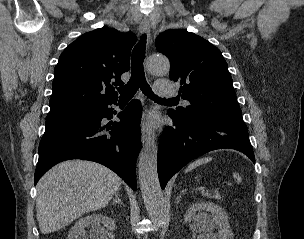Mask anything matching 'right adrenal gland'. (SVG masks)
Returning a JSON list of instances; mask_svg holds the SVG:
<instances>
[{"mask_svg": "<svg viewBox=\"0 0 304 239\" xmlns=\"http://www.w3.org/2000/svg\"><path fill=\"white\" fill-rule=\"evenodd\" d=\"M112 204H121L122 206H125L119 197V192L115 193V198L113 199Z\"/></svg>", "mask_w": 304, "mask_h": 239, "instance_id": "right-adrenal-gland-1", "label": "right adrenal gland"}]
</instances>
